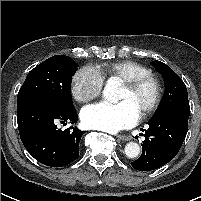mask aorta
Here are the masks:
<instances>
[{
    "mask_svg": "<svg viewBox=\"0 0 201 201\" xmlns=\"http://www.w3.org/2000/svg\"><path fill=\"white\" fill-rule=\"evenodd\" d=\"M103 96L109 102H116L117 101L116 86L108 82L103 90ZM124 151L128 158H135L140 153V146L136 142H129L126 144Z\"/></svg>",
    "mask_w": 201,
    "mask_h": 201,
    "instance_id": "aorta-1",
    "label": "aorta"
}]
</instances>
